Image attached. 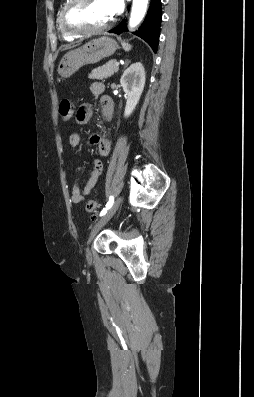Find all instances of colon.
Here are the masks:
<instances>
[{
    "label": "colon",
    "instance_id": "1",
    "mask_svg": "<svg viewBox=\"0 0 254 397\" xmlns=\"http://www.w3.org/2000/svg\"><path fill=\"white\" fill-rule=\"evenodd\" d=\"M75 105L71 100L64 99L60 103V115L63 120H69L74 113ZM99 207V201L97 199H90L86 204L87 212L95 214Z\"/></svg>",
    "mask_w": 254,
    "mask_h": 397
}]
</instances>
